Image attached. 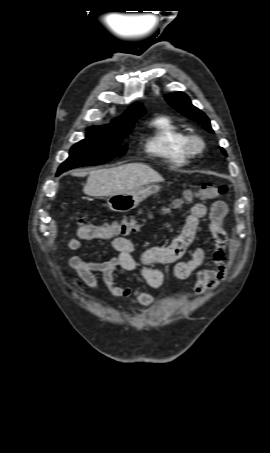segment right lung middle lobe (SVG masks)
<instances>
[{
    "mask_svg": "<svg viewBox=\"0 0 270 453\" xmlns=\"http://www.w3.org/2000/svg\"><path fill=\"white\" fill-rule=\"evenodd\" d=\"M132 128L133 125L125 129L90 128L86 139L71 148L69 158L61 164L57 175L72 168L102 164L116 156H123L126 147H122L120 142L128 136Z\"/></svg>",
    "mask_w": 270,
    "mask_h": 453,
    "instance_id": "1",
    "label": "right lung middle lobe"
}]
</instances>
